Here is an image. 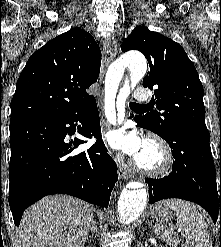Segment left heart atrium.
<instances>
[{"label": "left heart atrium", "instance_id": "obj_1", "mask_svg": "<svg viewBox=\"0 0 221 247\" xmlns=\"http://www.w3.org/2000/svg\"><path fill=\"white\" fill-rule=\"evenodd\" d=\"M108 144L117 150H121L129 155L138 156L145 141L136 131L127 132L124 128L111 130L105 135Z\"/></svg>", "mask_w": 221, "mask_h": 247}]
</instances>
